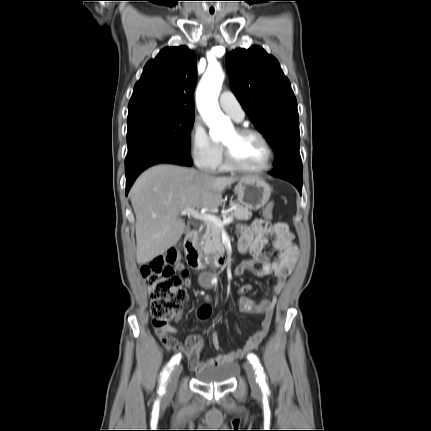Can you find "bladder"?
<instances>
[{
    "label": "bladder",
    "instance_id": "1",
    "mask_svg": "<svg viewBox=\"0 0 431 431\" xmlns=\"http://www.w3.org/2000/svg\"><path fill=\"white\" fill-rule=\"evenodd\" d=\"M239 372V364L236 362H229L197 371L195 373V378L206 384H224L236 378Z\"/></svg>",
    "mask_w": 431,
    "mask_h": 431
}]
</instances>
